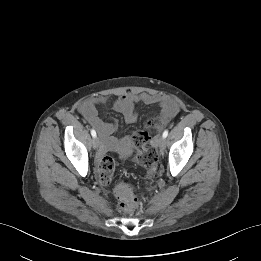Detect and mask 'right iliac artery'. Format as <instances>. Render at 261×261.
<instances>
[{"mask_svg":"<svg viewBox=\"0 0 261 261\" xmlns=\"http://www.w3.org/2000/svg\"><path fill=\"white\" fill-rule=\"evenodd\" d=\"M92 137H96V131L94 129L91 130Z\"/></svg>","mask_w":261,"mask_h":261,"instance_id":"right-iliac-artery-1","label":"right iliac artery"}]
</instances>
